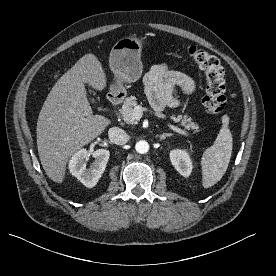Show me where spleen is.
Segmentation results:
<instances>
[{"label":"spleen","mask_w":276,"mask_h":276,"mask_svg":"<svg viewBox=\"0 0 276 276\" xmlns=\"http://www.w3.org/2000/svg\"><path fill=\"white\" fill-rule=\"evenodd\" d=\"M229 117H222V127L213 146L206 149L201 158L202 185L204 188L214 186L225 174L230 162L233 138L228 128Z\"/></svg>","instance_id":"1"}]
</instances>
